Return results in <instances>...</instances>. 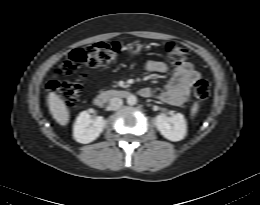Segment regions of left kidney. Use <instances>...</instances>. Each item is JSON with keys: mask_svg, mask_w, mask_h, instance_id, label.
<instances>
[{"mask_svg": "<svg viewBox=\"0 0 260 205\" xmlns=\"http://www.w3.org/2000/svg\"><path fill=\"white\" fill-rule=\"evenodd\" d=\"M154 121L161 135L170 141H180L186 136V120L181 113L173 114L171 117L160 114L155 117Z\"/></svg>", "mask_w": 260, "mask_h": 205, "instance_id": "left-kidney-1", "label": "left kidney"}]
</instances>
